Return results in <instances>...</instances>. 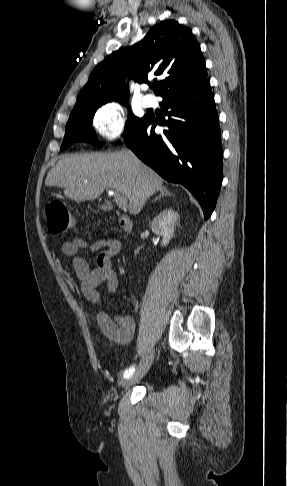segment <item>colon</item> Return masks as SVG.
<instances>
[{"instance_id": "obj_1", "label": "colon", "mask_w": 287, "mask_h": 486, "mask_svg": "<svg viewBox=\"0 0 287 486\" xmlns=\"http://www.w3.org/2000/svg\"><path fill=\"white\" fill-rule=\"evenodd\" d=\"M45 217L49 231L54 234L66 232L74 224L66 205L58 200L47 203Z\"/></svg>"}]
</instances>
